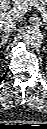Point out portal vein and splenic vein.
Returning <instances> with one entry per match:
<instances>
[{
	"label": "portal vein and splenic vein",
	"mask_w": 47,
	"mask_h": 129,
	"mask_svg": "<svg viewBox=\"0 0 47 129\" xmlns=\"http://www.w3.org/2000/svg\"><path fill=\"white\" fill-rule=\"evenodd\" d=\"M28 6H35L43 14H46L45 8L41 6L37 0H30V2H25L22 5L15 6L12 10H10L7 13H1V17H5L8 19H18L27 12Z\"/></svg>",
	"instance_id": "obj_1"
}]
</instances>
